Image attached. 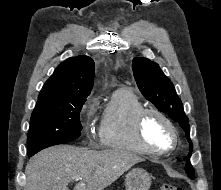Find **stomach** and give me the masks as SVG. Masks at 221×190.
I'll list each match as a JSON object with an SVG mask.
<instances>
[{
	"instance_id": "obj_1",
	"label": "stomach",
	"mask_w": 221,
	"mask_h": 190,
	"mask_svg": "<svg viewBox=\"0 0 221 190\" xmlns=\"http://www.w3.org/2000/svg\"><path fill=\"white\" fill-rule=\"evenodd\" d=\"M150 185L151 178L142 168H134L126 175V190H149Z\"/></svg>"
}]
</instances>
